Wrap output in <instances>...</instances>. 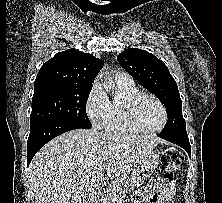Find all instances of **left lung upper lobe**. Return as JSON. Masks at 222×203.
<instances>
[{
    "mask_svg": "<svg viewBox=\"0 0 222 203\" xmlns=\"http://www.w3.org/2000/svg\"><path fill=\"white\" fill-rule=\"evenodd\" d=\"M117 60L166 107L168 121L160 134L187 136L178 86L167 66L153 54L137 48L126 49L117 56Z\"/></svg>",
    "mask_w": 222,
    "mask_h": 203,
    "instance_id": "1",
    "label": "left lung upper lobe"
}]
</instances>
